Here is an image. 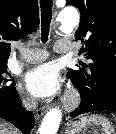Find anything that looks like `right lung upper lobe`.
<instances>
[{
    "label": "right lung upper lobe",
    "instance_id": "obj_1",
    "mask_svg": "<svg viewBox=\"0 0 116 134\" xmlns=\"http://www.w3.org/2000/svg\"><path fill=\"white\" fill-rule=\"evenodd\" d=\"M38 26L37 0H0V65L7 64L9 41L27 38Z\"/></svg>",
    "mask_w": 116,
    "mask_h": 134
}]
</instances>
